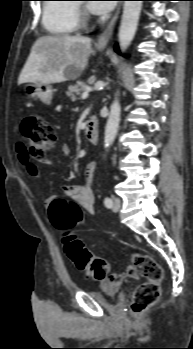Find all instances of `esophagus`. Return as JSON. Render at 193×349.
<instances>
[{
  "label": "esophagus",
  "mask_w": 193,
  "mask_h": 349,
  "mask_svg": "<svg viewBox=\"0 0 193 349\" xmlns=\"http://www.w3.org/2000/svg\"><path fill=\"white\" fill-rule=\"evenodd\" d=\"M120 10H121V5H119L117 7V10L114 14V16L112 17V19L109 21V23L106 25V27L104 28V30L102 31V33L99 35L96 45L97 47H106L110 38L112 37V34L114 32L117 20L119 18V14H120Z\"/></svg>",
  "instance_id": "esophagus-1"
}]
</instances>
